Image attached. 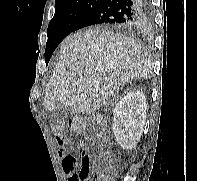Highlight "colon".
I'll return each instance as SVG.
<instances>
[{"label": "colon", "instance_id": "5ec220e1", "mask_svg": "<svg viewBox=\"0 0 197 181\" xmlns=\"http://www.w3.org/2000/svg\"><path fill=\"white\" fill-rule=\"evenodd\" d=\"M76 129L83 132L87 137L97 136V127L94 123H84L79 121ZM56 138L63 140L62 131L56 132ZM82 168L78 181H112L115 175V168L112 160L106 154H90L83 152L81 156Z\"/></svg>", "mask_w": 197, "mask_h": 181}]
</instances>
